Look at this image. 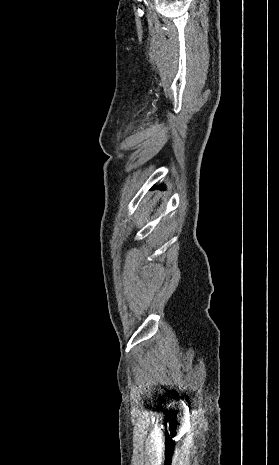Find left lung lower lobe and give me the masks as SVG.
Instances as JSON below:
<instances>
[{
    "label": "left lung lower lobe",
    "mask_w": 279,
    "mask_h": 465,
    "mask_svg": "<svg viewBox=\"0 0 279 465\" xmlns=\"http://www.w3.org/2000/svg\"><path fill=\"white\" fill-rule=\"evenodd\" d=\"M156 188H160V189H163V188H162L161 186H158V187H156Z\"/></svg>",
    "instance_id": "obj_1"
}]
</instances>
